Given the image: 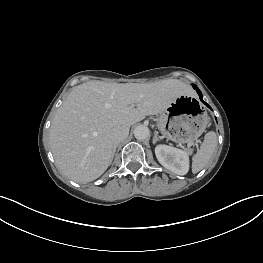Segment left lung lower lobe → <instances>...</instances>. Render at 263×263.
Masks as SVG:
<instances>
[{
	"mask_svg": "<svg viewBox=\"0 0 263 263\" xmlns=\"http://www.w3.org/2000/svg\"><path fill=\"white\" fill-rule=\"evenodd\" d=\"M193 87H194V89H196V91H197V93H198V95H199V97H200V100H201L206 106H208V107L210 108V106L203 101L201 91L198 89V87L195 86V85H193Z\"/></svg>",
	"mask_w": 263,
	"mask_h": 263,
	"instance_id": "1",
	"label": "left lung lower lobe"
}]
</instances>
